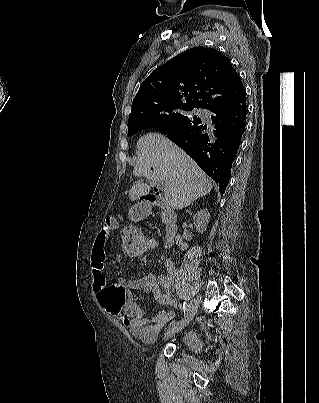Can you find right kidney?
I'll return each mask as SVG.
<instances>
[{"label":"right kidney","instance_id":"ca27d5eb","mask_svg":"<svg viewBox=\"0 0 319 403\" xmlns=\"http://www.w3.org/2000/svg\"><path fill=\"white\" fill-rule=\"evenodd\" d=\"M193 218H194V225L197 231L200 233L205 232L210 221V214L208 210L204 209L197 212ZM176 244L180 247L182 251L188 248V245L183 242V238L180 235H177L176 237Z\"/></svg>","mask_w":319,"mask_h":403}]
</instances>
